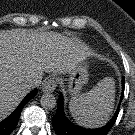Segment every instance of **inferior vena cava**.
Instances as JSON below:
<instances>
[{
    "label": "inferior vena cava",
    "instance_id": "inferior-vena-cava-1",
    "mask_svg": "<svg viewBox=\"0 0 135 135\" xmlns=\"http://www.w3.org/2000/svg\"><path fill=\"white\" fill-rule=\"evenodd\" d=\"M36 85H37V84H36L35 81L29 80V81L27 82V84H26V87H27L28 89H32V88H34Z\"/></svg>",
    "mask_w": 135,
    "mask_h": 135
}]
</instances>
